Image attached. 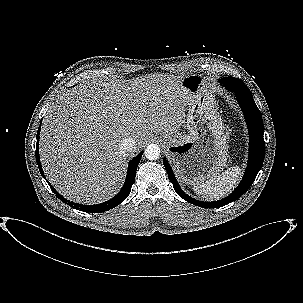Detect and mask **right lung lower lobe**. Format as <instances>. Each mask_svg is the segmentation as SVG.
I'll list each match as a JSON object with an SVG mask.
<instances>
[{
    "instance_id": "right-lung-lower-lobe-1",
    "label": "right lung lower lobe",
    "mask_w": 303,
    "mask_h": 303,
    "mask_svg": "<svg viewBox=\"0 0 303 303\" xmlns=\"http://www.w3.org/2000/svg\"><path fill=\"white\" fill-rule=\"evenodd\" d=\"M39 132H40V127L37 132L36 161L38 163L40 173L44 177V172L42 170L40 157H39ZM142 153L143 152H140L135 158H133L129 162L126 180H125V183H124L122 189L120 190V192L116 196H114L112 199H110L104 203H101V204L82 205V204L70 202V201L66 200L62 195H60L54 188H52V185L47 180L46 181L48 182L51 189L55 192L56 196L61 201L65 202L66 204L70 205L71 207L76 208L78 210L85 211V212H90V213H102V212H105L107 210H110V209L116 207L117 205L122 203L128 197V195L131 192V187L135 180V173L137 170V166L141 160Z\"/></svg>"
}]
</instances>
